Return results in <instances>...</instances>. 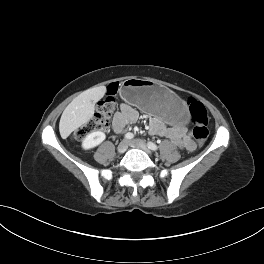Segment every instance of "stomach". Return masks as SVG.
<instances>
[{
    "label": "stomach",
    "instance_id": "stomach-1",
    "mask_svg": "<svg viewBox=\"0 0 264 264\" xmlns=\"http://www.w3.org/2000/svg\"><path fill=\"white\" fill-rule=\"evenodd\" d=\"M121 97L139 109L159 115L172 127H182L190 112L170 89L151 79L129 78L123 81Z\"/></svg>",
    "mask_w": 264,
    "mask_h": 264
}]
</instances>
